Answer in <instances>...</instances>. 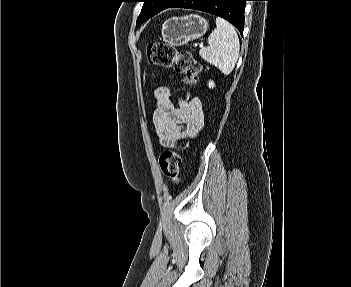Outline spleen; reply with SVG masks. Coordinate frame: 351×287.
<instances>
[{
	"label": "spleen",
	"instance_id": "1",
	"mask_svg": "<svg viewBox=\"0 0 351 287\" xmlns=\"http://www.w3.org/2000/svg\"><path fill=\"white\" fill-rule=\"evenodd\" d=\"M208 47L200 50V56L217 67L224 75L230 74L239 57L240 43L233 25L216 18V28L208 38Z\"/></svg>",
	"mask_w": 351,
	"mask_h": 287
}]
</instances>
